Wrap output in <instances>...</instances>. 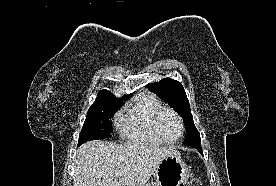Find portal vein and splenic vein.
I'll use <instances>...</instances> for the list:
<instances>
[{
  "instance_id": "1",
  "label": "portal vein and splenic vein",
  "mask_w": 276,
  "mask_h": 186,
  "mask_svg": "<svg viewBox=\"0 0 276 186\" xmlns=\"http://www.w3.org/2000/svg\"><path fill=\"white\" fill-rule=\"evenodd\" d=\"M123 175V172H118L115 174L116 177H121Z\"/></svg>"
}]
</instances>
